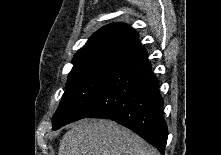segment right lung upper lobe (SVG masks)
<instances>
[{"label": "right lung upper lobe", "mask_w": 221, "mask_h": 155, "mask_svg": "<svg viewBox=\"0 0 221 155\" xmlns=\"http://www.w3.org/2000/svg\"><path fill=\"white\" fill-rule=\"evenodd\" d=\"M138 33L123 23L100 28L74 55L72 62L103 54L127 56L139 45Z\"/></svg>", "instance_id": "1"}]
</instances>
